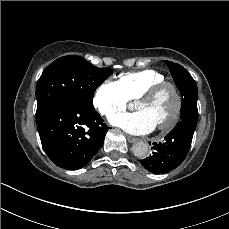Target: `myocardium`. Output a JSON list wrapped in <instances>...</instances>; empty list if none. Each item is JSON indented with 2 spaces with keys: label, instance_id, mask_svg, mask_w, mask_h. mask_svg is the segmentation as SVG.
Here are the masks:
<instances>
[{
  "label": "myocardium",
  "instance_id": "obj_1",
  "mask_svg": "<svg viewBox=\"0 0 229 229\" xmlns=\"http://www.w3.org/2000/svg\"><path fill=\"white\" fill-rule=\"evenodd\" d=\"M171 87L174 90L169 93V104H170V114L166 116V125L156 126L157 130L161 133H166L171 131L182 119L185 109V99L183 94L177 84L170 81H164L154 87L149 88L142 96L138 98V102L141 100L152 101L154 100L163 90ZM177 98H179L180 106L178 104Z\"/></svg>",
  "mask_w": 229,
  "mask_h": 229
}]
</instances>
